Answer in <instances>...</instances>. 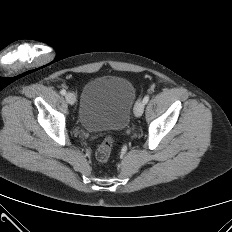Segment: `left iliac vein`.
I'll return each instance as SVG.
<instances>
[{
  "label": "left iliac vein",
  "instance_id": "4c4485c4",
  "mask_svg": "<svg viewBox=\"0 0 232 232\" xmlns=\"http://www.w3.org/2000/svg\"><path fill=\"white\" fill-rule=\"evenodd\" d=\"M144 111V103L143 101L139 100L137 101V103L135 104L134 107V115L136 117H140L143 114Z\"/></svg>",
  "mask_w": 232,
  "mask_h": 232
}]
</instances>
